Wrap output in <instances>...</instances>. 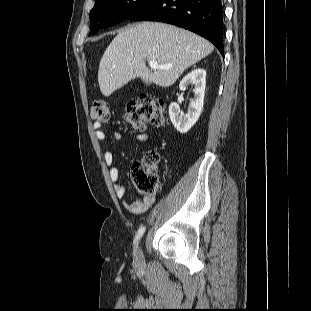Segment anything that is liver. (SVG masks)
Listing matches in <instances>:
<instances>
[{"mask_svg": "<svg viewBox=\"0 0 311 311\" xmlns=\"http://www.w3.org/2000/svg\"><path fill=\"white\" fill-rule=\"evenodd\" d=\"M213 51L206 39L165 23L143 22L122 29L104 52L98 83L104 96L111 95L130 80L140 77L147 85H173L191 65ZM172 65L153 72L145 61Z\"/></svg>", "mask_w": 311, "mask_h": 311, "instance_id": "6515ba94", "label": "liver"}]
</instances>
